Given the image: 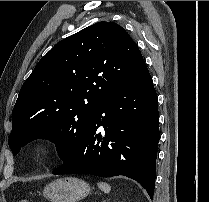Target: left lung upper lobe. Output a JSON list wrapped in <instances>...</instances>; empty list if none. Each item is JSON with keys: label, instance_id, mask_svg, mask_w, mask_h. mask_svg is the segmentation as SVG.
Here are the masks:
<instances>
[{"label": "left lung upper lobe", "instance_id": "left-lung-upper-lobe-1", "mask_svg": "<svg viewBox=\"0 0 209 202\" xmlns=\"http://www.w3.org/2000/svg\"><path fill=\"white\" fill-rule=\"evenodd\" d=\"M145 66L137 44L116 23L99 22L58 42L24 82L12 111L13 155L42 138L66 160L83 139L96 105Z\"/></svg>", "mask_w": 209, "mask_h": 202}]
</instances>
